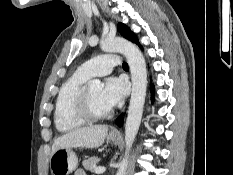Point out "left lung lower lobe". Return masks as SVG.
I'll use <instances>...</instances> for the list:
<instances>
[{
    "mask_svg": "<svg viewBox=\"0 0 233 175\" xmlns=\"http://www.w3.org/2000/svg\"><path fill=\"white\" fill-rule=\"evenodd\" d=\"M122 123H123V117H122V116H119V117L117 118V120H116V124H117L118 126H121Z\"/></svg>",
    "mask_w": 233,
    "mask_h": 175,
    "instance_id": "obj_1",
    "label": "left lung lower lobe"
}]
</instances>
